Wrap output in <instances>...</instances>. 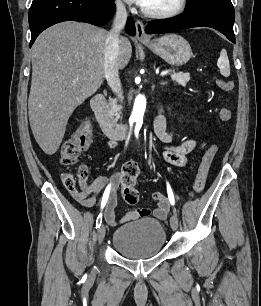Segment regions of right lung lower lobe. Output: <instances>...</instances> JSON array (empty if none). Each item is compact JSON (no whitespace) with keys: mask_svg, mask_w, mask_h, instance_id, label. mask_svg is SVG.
I'll use <instances>...</instances> for the list:
<instances>
[{"mask_svg":"<svg viewBox=\"0 0 261 306\" xmlns=\"http://www.w3.org/2000/svg\"><path fill=\"white\" fill-rule=\"evenodd\" d=\"M114 1L106 0H33L29 10L30 47L46 28L63 21L105 25L115 12ZM127 32L135 35L133 19L128 18Z\"/></svg>","mask_w":261,"mask_h":306,"instance_id":"1","label":"right lung lower lobe"}]
</instances>
